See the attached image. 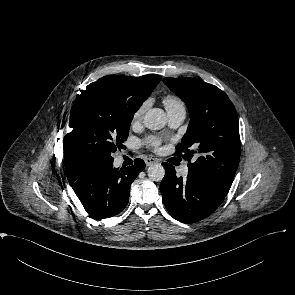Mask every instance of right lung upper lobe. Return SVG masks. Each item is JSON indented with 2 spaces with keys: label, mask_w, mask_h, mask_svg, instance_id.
Wrapping results in <instances>:
<instances>
[{
  "label": "right lung upper lobe",
  "mask_w": 295,
  "mask_h": 295,
  "mask_svg": "<svg viewBox=\"0 0 295 295\" xmlns=\"http://www.w3.org/2000/svg\"><path fill=\"white\" fill-rule=\"evenodd\" d=\"M141 77L144 78L146 93L148 96L162 79L161 76L155 74H149ZM64 162L67 178L70 179L81 164L72 158L66 146H64Z\"/></svg>",
  "instance_id": "cb5924a9"
}]
</instances>
